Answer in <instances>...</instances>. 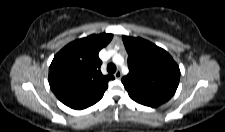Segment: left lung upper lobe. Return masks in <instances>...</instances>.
<instances>
[{"mask_svg": "<svg viewBox=\"0 0 225 132\" xmlns=\"http://www.w3.org/2000/svg\"><path fill=\"white\" fill-rule=\"evenodd\" d=\"M128 52L129 74L122 83L136 102L156 107L175 93L180 69L164 49L142 38L123 36Z\"/></svg>", "mask_w": 225, "mask_h": 132, "instance_id": "1", "label": "left lung upper lobe"}]
</instances>
